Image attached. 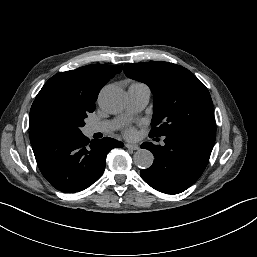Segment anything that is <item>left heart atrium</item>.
Masks as SVG:
<instances>
[{"label": "left heart atrium", "mask_w": 257, "mask_h": 257, "mask_svg": "<svg viewBox=\"0 0 257 257\" xmlns=\"http://www.w3.org/2000/svg\"><path fill=\"white\" fill-rule=\"evenodd\" d=\"M136 132L134 129L132 128H129V129H126L125 130V135L128 137V138H133L135 136Z\"/></svg>", "instance_id": "39dd6f15"}]
</instances>
